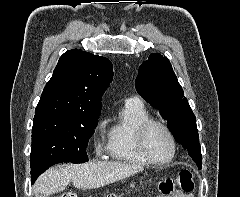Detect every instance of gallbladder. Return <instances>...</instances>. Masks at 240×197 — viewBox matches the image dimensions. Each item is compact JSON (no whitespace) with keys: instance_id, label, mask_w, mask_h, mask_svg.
Segmentation results:
<instances>
[{"instance_id":"bac80fb5","label":"gallbladder","mask_w":240,"mask_h":197,"mask_svg":"<svg viewBox=\"0 0 240 197\" xmlns=\"http://www.w3.org/2000/svg\"><path fill=\"white\" fill-rule=\"evenodd\" d=\"M37 197H43L42 195H38Z\"/></svg>"}]
</instances>
